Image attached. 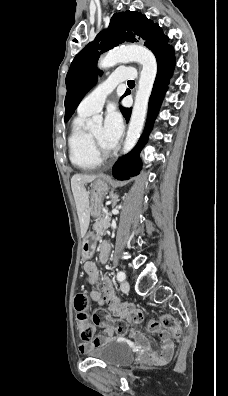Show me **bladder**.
<instances>
[{
  "instance_id": "1",
  "label": "bladder",
  "mask_w": 228,
  "mask_h": 396,
  "mask_svg": "<svg viewBox=\"0 0 228 396\" xmlns=\"http://www.w3.org/2000/svg\"><path fill=\"white\" fill-rule=\"evenodd\" d=\"M85 355L99 359L105 364L114 367H121L132 362L134 353L131 348L118 341H107L102 344L92 346L85 351Z\"/></svg>"
}]
</instances>
